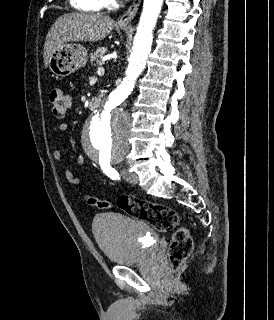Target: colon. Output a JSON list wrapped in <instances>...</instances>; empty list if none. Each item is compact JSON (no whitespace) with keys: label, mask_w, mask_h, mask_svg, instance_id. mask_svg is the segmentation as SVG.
Instances as JSON below:
<instances>
[{"label":"colon","mask_w":274,"mask_h":320,"mask_svg":"<svg viewBox=\"0 0 274 320\" xmlns=\"http://www.w3.org/2000/svg\"><path fill=\"white\" fill-rule=\"evenodd\" d=\"M48 100L56 117H63L72 104L69 94L63 87H52L49 90ZM117 202L118 209L132 218L147 222L160 233L166 234L176 228L169 248V262L174 271L183 267L193 250V240L188 227L182 225L175 210L166 205L141 198L123 196L117 199ZM95 203L94 199H89L90 205ZM97 205L101 209L114 207L113 203L106 199L99 200Z\"/></svg>","instance_id":"colon-1"}]
</instances>
